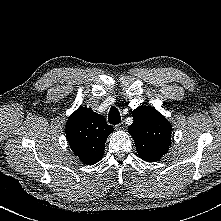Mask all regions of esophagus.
Masks as SVG:
<instances>
[{
	"instance_id": "obj_1",
	"label": "esophagus",
	"mask_w": 221,
	"mask_h": 221,
	"mask_svg": "<svg viewBox=\"0 0 221 221\" xmlns=\"http://www.w3.org/2000/svg\"><path fill=\"white\" fill-rule=\"evenodd\" d=\"M124 123L123 122H121V123H119V124H117V125H115V129L116 130H122V129H124Z\"/></svg>"
}]
</instances>
